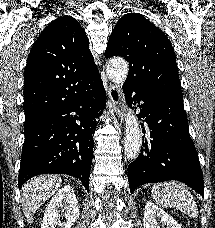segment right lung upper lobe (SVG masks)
<instances>
[{
  "label": "right lung upper lobe",
  "instance_id": "1",
  "mask_svg": "<svg viewBox=\"0 0 215 228\" xmlns=\"http://www.w3.org/2000/svg\"><path fill=\"white\" fill-rule=\"evenodd\" d=\"M99 74L89 40L79 22L61 16L39 35L24 73L25 123L30 124L64 105L75 90Z\"/></svg>",
  "mask_w": 215,
  "mask_h": 228
}]
</instances>
